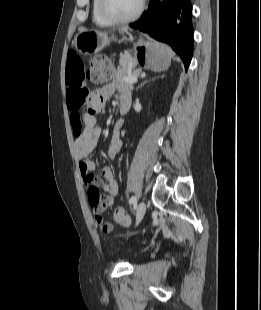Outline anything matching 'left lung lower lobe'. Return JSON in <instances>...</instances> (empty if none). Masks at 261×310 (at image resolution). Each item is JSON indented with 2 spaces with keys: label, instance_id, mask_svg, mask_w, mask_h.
I'll list each match as a JSON object with an SVG mask.
<instances>
[{
  "label": "left lung lower lobe",
  "instance_id": "obj_1",
  "mask_svg": "<svg viewBox=\"0 0 261 310\" xmlns=\"http://www.w3.org/2000/svg\"><path fill=\"white\" fill-rule=\"evenodd\" d=\"M192 6L190 0H150L148 10L130 27L169 44L187 70L193 52Z\"/></svg>",
  "mask_w": 261,
  "mask_h": 310
}]
</instances>
